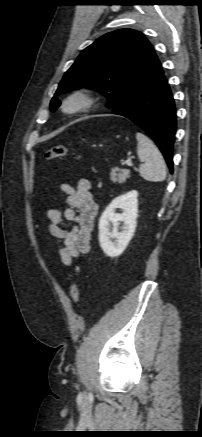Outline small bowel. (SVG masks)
<instances>
[{"instance_id": "1", "label": "small bowel", "mask_w": 202, "mask_h": 437, "mask_svg": "<svg viewBox=\"0 0 202 437\" xmlns=\"http://www.w3.org/2000/svg\"><path fill=\"white\" fill-rule=\"evenodd\" d=\"M59 188L66 195L67 207L63 212L55 208L47 209L48 231L62 243L58 251L60 262L71 266L76 258L90 251L91 233L99 208L88 179H79L75 186L63 183ZM63 220L73 224L72 228L64 229Z\"/></svg>"}]
</instances>
